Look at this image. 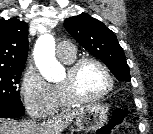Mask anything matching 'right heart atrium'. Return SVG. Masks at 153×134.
Here are the masks:
<instances>
[{
	"mask_svg": "<svg viewBox=\"0 0 153 134\" xmlns=\"http://www.w3.org/2000/svg\"><path fill=\"white\" fill-rule=\"evenodd\" d=\"M21 96L27 112L33 117L44 118L55 109L53 86L33 66L28 67L23 74Z\"/></svg>",
	"mask_w": 153,
	"mask_h": 134,
	"instance_id": "1",
	"label": "right heart atrium"
}]
</instances>
